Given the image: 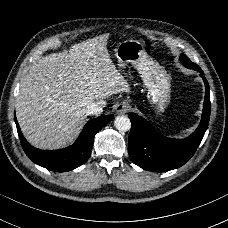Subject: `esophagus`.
I'll return each mask as SVG.
<instances>
[{"instance_id": "34e87169", "label": "esophagus", "mask_w": 228, "mask_h": 228, "mask_svg": "<svg viewBox=\"0 0 228 228\" xmlns=\"http://www.w3.org/2000/svg\"><path fill=\"white\" fill-rule=\"evenodd\" d=\"M131 108L132 107L128 102H121L116 106L115 110L117 114L121 115L129 112Z\"/></svg>"}]
</instances>
